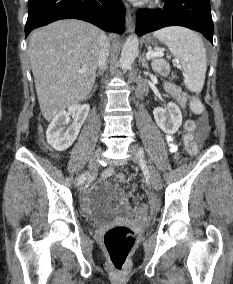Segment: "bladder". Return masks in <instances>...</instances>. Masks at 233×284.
Wrapping results in <instances>:
<instances>
[{"instance_id":"1","label":"bladder","mask_w":233,"mask_h":284,"mask_svg":"<svg viewBox=\"0 0 233 284\" xmlns=\"http://www.w3.org/2000/svg\"><path fill=\"white\" fill-rule=\"evenodd\" d=\"M125 196L124 189L114 183L101 182L90 189L85 198L88 203L106 207L119 202Z\"/></svg>"}]
</instances>
